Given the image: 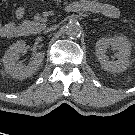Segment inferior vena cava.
<instances>
[{"instance_id":"1","label":"inferior vena cava","mask_w":135,"mask_h":135,"mask_svg":"<svg viewBox=\"0 0 135 135\" xmlns=\"http://www.w3.org/2000/svg\"><path fill=\"white\" fill-rule=\"evenodd\" d=\"M53 29H55V27L47 28V30H45V33L50 32V31H52Z\"/></svg>"}]
</instances>
